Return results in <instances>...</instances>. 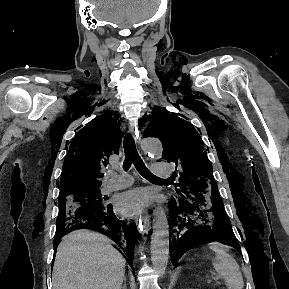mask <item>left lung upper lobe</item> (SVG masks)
Wrapping results in <instances>:
<instances>
[{
  "label": "left lung upper lobe",
  "instance_id": "obj_1",
  "mask_svg": "<svg viewBox=\"0 0 289 289\" xmlns=\"http://www.w3.org/2000/svg\"><path fill=\"white\" fill-rule=\"evenodd\" d=\"M144 132L145 137H158L164 144L165 159L178 166L179 196L196 188L204 193L213 189L218 192L203 142L188 121L156 108L153 121Z\"/></svg>",
  "mask_w": 289,
  "mask_h": 289
}]
</instances>
